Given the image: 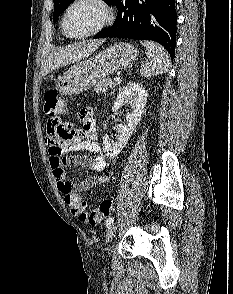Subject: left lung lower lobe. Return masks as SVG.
I'll use <instances>...</instances> for the list:
<instances>
[{
  "mask_svg": "<svg viewBox=\"0 0 233 294\" xmlns=\"http://www.w3.org/2000/svg\"><path fill=\"white\" fill-rule=\"evenodd\" d=\"M114 24L94 38H129L160 43L173 58L176 45L175 0H119Z\"/></svg>",
  "mask_w": 233,
  "mask_h": 294,
  "instance_id": "0a47b994",
  "label": "left lung lower lobe"
}]
</instances>
